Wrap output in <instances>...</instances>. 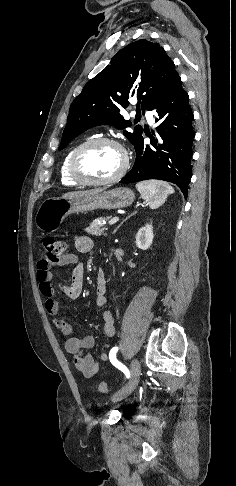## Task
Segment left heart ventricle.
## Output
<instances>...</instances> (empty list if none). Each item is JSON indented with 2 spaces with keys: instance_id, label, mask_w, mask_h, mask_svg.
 I'll return each mask as SVG.
<instances>
[{
  "instance_id": "left-heart-ventricle-1",
  "label": "left heart ventricle",
  "mask_w": 236,
  "mask_h": 486,
  "mask_svg": "<svg viewBox=\"0 0 236 486\" xmlns=\"http://www.w3.org/2000/svg\"><path fill=\"white\" fill-rule=\"evenodd\" d=\"M121 151L109 144H99L83 153L79 161L81 172L93 179H105L114 176L121 168Z\"/></svg>"
}]
</instances>
